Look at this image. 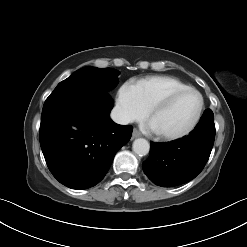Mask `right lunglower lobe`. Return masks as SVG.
Listing matches in <instances>:
<instances>
[{
    "label": "right lung lower lobe",
    "mask_w": 247,
    "mask_h": 247,
    "mask_svg": "<svg viewBox=\"0 0 247 247\" xmlns=\"http://www.w3.org/2000/svg\"><path fill=\"white\" fill-rule=\"evenodd\" d=\"M114 105L105 91L72 90L51 94L40 124V145L47 166L63 185L86 189L100 182L132 126L114 123Z\"/></svg>",
    "instance_id": "obj_1"
}]
</instances>
